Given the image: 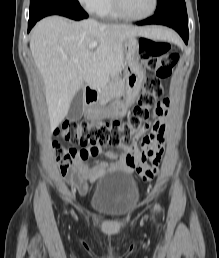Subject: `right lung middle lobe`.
Here are the masks:
<instances>
[{
  "label": "right lung middle lobe",
  "mask_w": 219,
  "mask_h": 258,
  "mask_svg": "<svg viewBox=\"0 0 219 258\" xmlns=\"http://www.w3.org/2000/svg\"><path fill=\"white\" fill-rule=\"evenodd\" d=\"M58 2L78 3L77 0H30V16L36 14L42 8Z\"/></svg>",
  "instance_id": "dd1d6c3e"
}]
</instances>
